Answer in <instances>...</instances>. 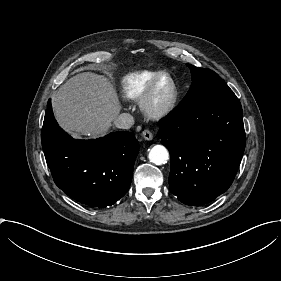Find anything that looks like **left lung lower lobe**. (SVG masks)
<instances>
[{
  "label": "left lung lower lobe",
  "mask_w": 281,
  "mask_h": 281,
  "mask_svg": "<svg viewBox=\"0 0 281 281\" xmlns=\"http://www.w3.org/2000/svg\"><path fill=\"white\" fill-rule=\"evenodd\" d=\"M159 125L161 143L170 152L169 186L181 202L207 204L230 187L245 149L235 95L179 105Z\"/></svg>",
  "instance_id": "obj_1"
}]
</instances>
